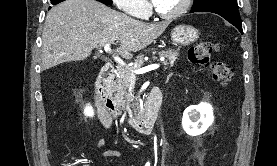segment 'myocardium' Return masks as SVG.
I'll return each instance as SVG.
<instances>
[{
    "label": "myocardium",
    "mask_w": 277,
    "mask_h": 166,
    "mask_svg": "<svg viewBox=\"0 0 277 166\" xmlns=\"http://www.w3.org/2000/svg\"><path fill=\"white\" fill-rule=\"evenodd\" d=\"M191 2H192V0H183L181 6L177 10L170 12V13H165V12L160 11L154 4L153 12L162 19L173 20V19H176V18L182 16L189 9Z\"/></svg>",
    "instance_id": "f54148a6"
}]
</instances>
